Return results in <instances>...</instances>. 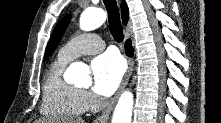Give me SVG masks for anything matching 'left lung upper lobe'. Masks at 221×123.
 <instances>
[{"mask_svg":"<svg viewBox=\"0 0 221 123\" xmlns=\"http://www.w3.org/2000/svg\"><path fill=\"white\" fill-rule=\"evenodd\" d=\"M70 20H71V15H67L57 24L47 44L44 54V59H48L55 51L63 34L65 33V30L67 29L70 23Z\"/></svg>","mask_w":221,"mask_h":123,"instance_id":"5c2ea615","label":"left lung upper lobe"}]
</instances>
